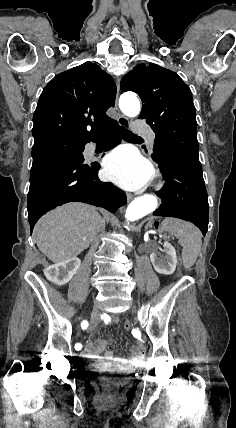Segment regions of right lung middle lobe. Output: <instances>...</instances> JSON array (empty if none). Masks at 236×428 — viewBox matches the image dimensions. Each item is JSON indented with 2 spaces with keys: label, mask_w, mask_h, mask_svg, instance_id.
I'll list each match as a JSON object with an SVG mask.
<instances>
[{
  "label": "right lung middle lobe",
  "mask_w": 236,
  "mask_h": 428,
  "mask_svg": "<svg viewBox=\"0 0 236 428\" xmlns=\"http://www.w3.org/2000/svg\"><path fill=\"white\" fill-rule=\"evenodd\" d=\"M83 144V141L74 139L50 140L35 144L32 148V166L59 157L83 160Z\"/></svg>",
  "instance_id": "1"
}]
</instances>
